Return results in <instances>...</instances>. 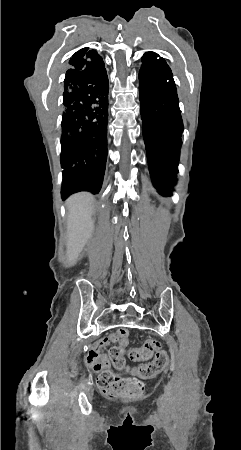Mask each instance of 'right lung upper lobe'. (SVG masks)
<instances>
[{"label":"right lung upper lobe","mask_w":241,"mask_h":450,"mask_svg":"<svg viewBox=\"0 0 241 450\" xmlns=\"http://www.w3.org/2000/svg\"><path fill=\"white\" fill-rule=\"evenodd\" d=\"M101 56L95 51L84 47L75 52L69 61L70 68L85 67L101 62Z\"/></svg>","instance_id":"1"}]
</instances>
